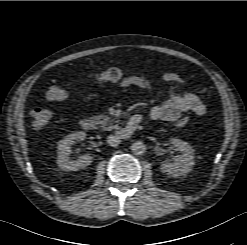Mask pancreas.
<instances>
[{
    "label": "pancreas",
    "instance_id": "1",
    "mask_svg": "<svg viewBox=\"0 0 247 245\" xmlns=\"http://www.w3.org/2000/svg\"><path fill=\"white\" fill-rule=\"evenodd\" d=\"M92 120L95 124L101 126L104 130H112L113 129V120L103 114H99L92 117Z\"/></svg>",
    "mask_w": 247,
    "mask_h": 245
}]
</instances>
